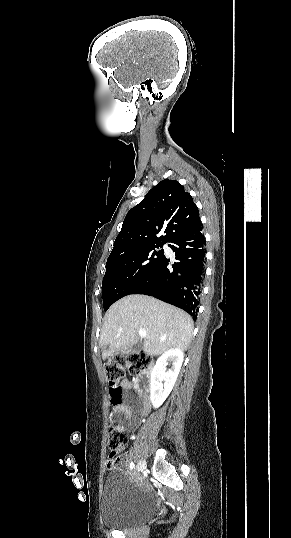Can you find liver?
<instances>
[{"mask_svg":"<svg viewBox=\"0 0 291 538\" xmlns=\"http://www.w3.org/2000/svg\"><path fill=\"white\" fill-rule=\"evenodd\" d=\"M146 336L143 350L160 355L168 349L187 350L192 339L193 320L186 312L146 295H128L107 311L100 334L102 357L126 350L138 343V331Z\"/></svg>","mask_w":291,"mask_h":538,"instance_id":"obj_1","label":"liver"}]
</instances>
